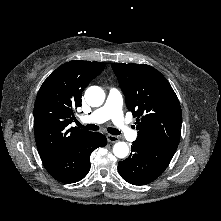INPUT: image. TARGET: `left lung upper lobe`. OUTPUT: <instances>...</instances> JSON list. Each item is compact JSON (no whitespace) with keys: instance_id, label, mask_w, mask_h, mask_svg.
Returning <instances> with one entry per match:
<instances>
[{"instance_id":"5c2ea615","label":"left lung upper lobe","mask_w":221,"mask_h":221,"mask_svg":"<svg viewBox=\"0 0 221 221\" xmlns=\"http://www.w3.org/2000/svg\"><path fill=\"white\" fill-rule=\"evenodd\" d=\"M126 106L137 117L138 137L176 151L182 124L179 100L167 79L146 64L113 63Z\"/></svg>"}]
</instances>
